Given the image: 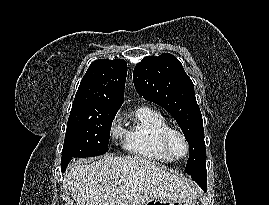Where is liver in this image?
Returning a JSON list of instances; mask_svg holds the SVG:
<instances>
[{
	"mask_svg": "<svg viewBox=\"0 0 269 205\" xmlns=\"http://www.w3.org/2000/svg\"><path fill=\"white\" fill-rule=\"evenodd\" d=\"M67 187L77 205H144L149 200L193 199L195 185L137 156L106 155L89 164L73 162ZM120 180L121 184H115Z\"/></svg>",
	"mask_w": 269,
	"mask_h": 205,
	"instance_id": "1",
	"label": "liver"
}]
</instances>
